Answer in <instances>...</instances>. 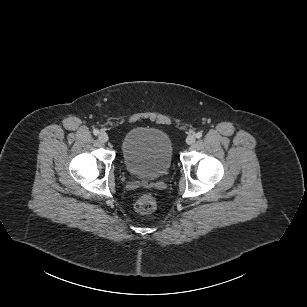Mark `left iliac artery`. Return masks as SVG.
<instances>
[{"mask_svg":"<svg viewBox=\"0 0 307 307\" xmlns=\"http://www.w3.org/2000/svg\"><path fill=\"white\" fill-rule=\"evenodd\" d=\"M195 136H196V138H198V139H199V138H201V137H202V133H201V132H197Z\"/></svg>","mask_w":307,"mask_h":307,"instance_id":"left-iliac-artery-1","label":"left iliac artery"}]
</instances>
